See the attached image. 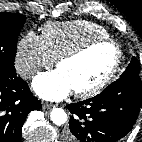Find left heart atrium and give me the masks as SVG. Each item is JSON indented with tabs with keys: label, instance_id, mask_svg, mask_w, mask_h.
Returning a JSON list of instances; mask_svg holds the SVG:
<instances>
[{
	"label": "left heart atrium",
	"instance_id": "left-heart-atrium-1",
	"mask_svg": "<svg viewBox=\"0 0 142 142\" xmlns=\"http://www.w3.org/2000/svg\"><path fill=\"white\" fill-rule=\"evenodd\" d=\"M35 92L46 100H60L66 97L72 87L60 70L39 74L33 81Z\"/></svg>",
	"mask_w": 142,
	"mask_h": 142
}]
</instances>
